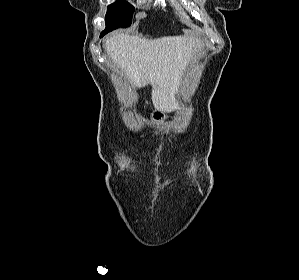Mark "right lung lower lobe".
Masks as SVG:
<instances>
[{
  "mask_svg": "<svg viewBox=\"0 0 299 280\" xmlns=\"http://www.w3.org/2000/svg\"><path fill=\"white\" fill-rule=\"evenodd\" d=\"M110 31H112L110 28H105L102 32H101V34H100V37H103L105 34H107L108 32H110Z\"/></svg>",
  "mask_w": 299,
  "mask_h": 280,
  "instance_id": "98d812e1",
  "label": "right lung lower lobe"
}]
</instances>
